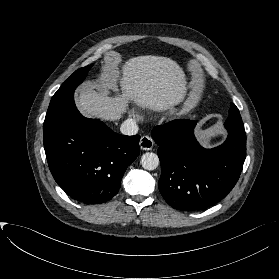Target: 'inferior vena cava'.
Here are the masks:
<instances>
[{
  "mask_svg": "<svg viewBox=\"0 0 279 279\" xmlns=\"http://www.w3.org/2000/svg\"><path fill=\"white\" fill-rule=\"evenodd\" d=\"M120 131L124 135H135L138 132V126L133 119H127L121 124Z\"/></svg>",
  "mask_w": 279,
  "mask_h": 279,
  "instance_id": "inferior-vena-cava-1",
  "label": "inferior vena cava"
}]
</instances>
